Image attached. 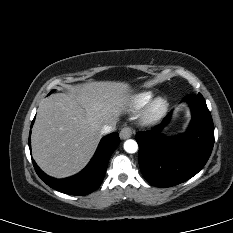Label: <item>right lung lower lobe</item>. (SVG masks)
Returning <instances> with one entry per match:
<instances>
[{"label":"right lung lower lobe","mask_w":233,"mask_h":233,"mask_svg":"<svg viewBox=\"0 0 233 233\" xmlns=\"http://www.w3.org/2000/svg\"><path fill=\"white\" fill-rule=\"evenodd\" d=\"M32 121L31 126L33 125ZM120 143V138L117 132L111 133L105 136L93 158L79 174L66 179H55L46 175L42 170L36 165L33 160L34 168L38 176L50 187L58 190L62 193L83 196L95 191L102 183L105 172L107 169L108 161ZM30 147V138H29Z\"/></svg>","instance_id":"98d812e1"}]
</instances>
